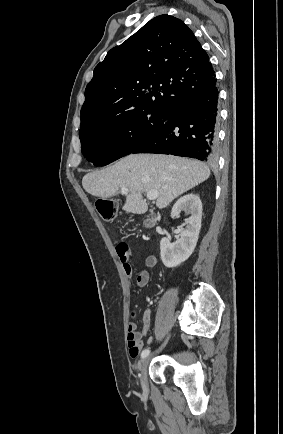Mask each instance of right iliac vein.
I'll return each instance as SVG.
<instances>
[{"label": "right iliac vein", "instance_id": "63e3f726", "mask_svg": "<svg viewBox=\"0 0 283 434\" xmlns=\"http://www.w3.org/2000/svg\"><path fill=\"white\" fill-rule=\"evenodd\" d=\"M169 338H170V335L167 336V338L165 339V341L163 342L161 347L158 350H156L155 354H158L166 346ZM151 359H152V356L146 357L140 366V381H141V386L144 390L148 389L147 370H148V365H149Z\"/></svg>", "mask_w": 283, "mask_h": 434}]
</instances>
